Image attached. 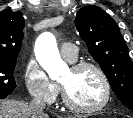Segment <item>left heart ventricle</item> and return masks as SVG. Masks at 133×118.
Wrapping results in <instances>:
<instances>
[{"label":"left heart ventricle","mask_w":133,"mask_h":118,"mask_svg":"<svg viewBox=\"0 0 133 118\" xmlns=\"http://www.w3.org/2000/svg\"><path fill=\"white\" fill-rule=\"evenodd\" d=\"M60 83L66 88L70 99L79 106H94L104 97L103 84L93 69L74 71L70 67L61 78Z\"/></svg>","instance_id":"left-heart-ventricle-1"}]
</instances>
